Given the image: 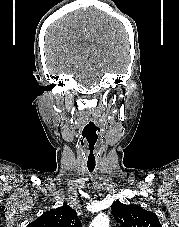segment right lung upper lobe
<instances>
[{"instance_id": "right-lung-upper-lobe-1", "label": "right lung upper lobe", "mask_w": 179, "mask_h": 227, "mask_svg": "<svg viewBox=\"0 0 179 227\" xmlns=\"http://www.w3.org/2000/svg\"><path fill=\"white\" fill-rule=\"evenodd\" d=\"M27 227H82L80 219L70 206L64 204L57 209L43 213Z\"/></svg>"}]
</instances>
